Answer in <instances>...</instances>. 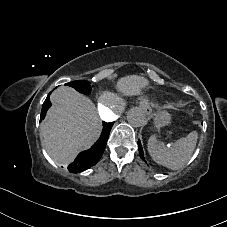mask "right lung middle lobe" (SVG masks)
<instances>
[{"label": "right lung middle lobe", "mask_w": 227, "mask_h": 227, "mask_svg": "<svg viewBox=\"0 0 227 227\" xmlns=\"http://www.w3.org/2000/svg\"><path fill=\"white\" fill-rule=\"evenodd\" d=\"M66 85L73 87L76 89L78 92L89 95L91 92V87L89 83L86 80H76L73 82H69ZM50 95V94H49ZM49 95L47 96V99L45 100L42 110H45L46 108L49 107Z\"/></svg>", "instance_id": "1"}]
</instances>
